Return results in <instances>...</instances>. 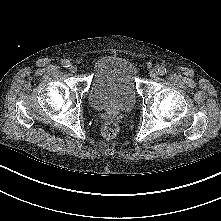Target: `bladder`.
Returning <instances> with one entry per match:
<instances>
[{
    "label": "bladder",
    "mask_w": 221,
    "mask_h": 221,
    "mask_svg": "<svg viewBox=\"0 0 221 221\" xmlns=\"http://www.w3.org/2000/svg\"><path fill=\"white\" fill-rule=\"evenodd\" d=\"M138 69L131 59L106 54L99 57L88 91L90 105L96 110H129L137 101Z\"/></svg>",
    "instance_id": "31cf9c89"
}]
</instances>
